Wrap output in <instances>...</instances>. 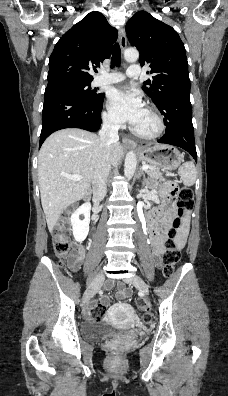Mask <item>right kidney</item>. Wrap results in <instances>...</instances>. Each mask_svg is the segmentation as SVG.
<instances>
[{"label":"right kidney","mask_w":228,"mask_h":396,"mask_svg":"<svg viewBox=\"0 0 228 396\" xmlns=\"http://www.w3.org/2000/svg\"><path fill=\"white\" fill-rule=\"evenodd\" d=\"M91 204L81 205L70 218L74 239L83 242L89 233ZM83 216V219H80Z\"/></svg>","instance_id":"1"}]
</instances>
